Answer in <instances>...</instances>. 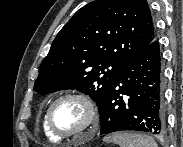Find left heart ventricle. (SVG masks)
Here are the masks:
<instances>
[{
  "instance_id": "obj_1",
  "label": "left heart ventricle",
  "mask_w": 183,
  "mask_h": 147,
  "mask_svg": "<svg viewBox=\"0 0 183 147\" xmlns=\"http://www.w3.org/2000/svg\"><path fill=\"white\" fill-rule=\"evenodd\" d=\"M86 107L76 99H65L59 102L52 111L53 126L62 133L81 129L87 122Z\"/></svg>"
}]
</instances>
